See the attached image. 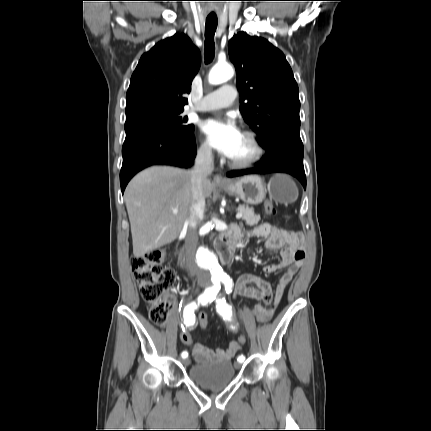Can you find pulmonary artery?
<instances>
[{
  "label": "pulmonary artery",
  "instance_id": "1",
  "mask_svg": "<svg viewBox=\"0 0 431 431\" xmlns=\"http://www.w3.org/2000/svg\"><path fill=\"white\" fill-rule=\"evenodd\" d=\"M237 95L233 85L225 84L205 95L195 106L197 111H212L230 106Z\"/></svg>",
  "mask_w": 431,
  "mask_h": 431
}]
</instances>
